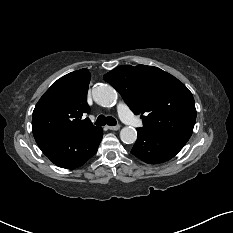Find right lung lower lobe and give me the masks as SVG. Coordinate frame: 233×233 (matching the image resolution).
<instances>
[{"label":"right lung lower lobe","instance_id":"right-lung-lower-lobe-1","mask_svg":"<svg viewBox=\"0 0 233 233\" xmlns=\"http://www.w3.org/2000/svg\"><path fill=\"white\" fill-rule=\"evenodd\" d=\"M103 136L100 127L77 137H42L35 139L42 152L59 167L74 169L96 154Z\"/></svg>","mask_w":233,"mask_h":233}]
</instances>
